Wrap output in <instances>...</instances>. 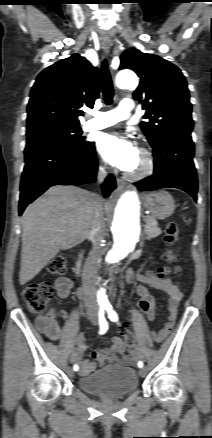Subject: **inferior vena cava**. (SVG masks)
<instances>
[{
    "label": "inferior vena cava",
    "instance_id": "inferior-vena-cava-1",
    "mask_svg": "<svg viewBox=\"0 0 212 438\" xmlns=\"http://www.w3.org/2000/svg\"><path fill=\"white\" fill-rule=\"evenodd\" d=\"M106 173L103 170L98 172V180L103 181ZM96 206L90 226L89 238L93 247L85 262L83 269V289L85 291V304L88 309L96 310L98 301L95 294V282L97 279V262L101 256L100 244L104 239V219L102 198L95 194Z\"/></svg>",
    "mask_w": 212,
    "mask_h": 438
}]
</instances>
